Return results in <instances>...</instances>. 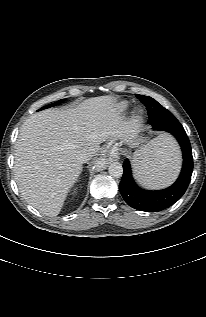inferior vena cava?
Here are the masks:
<instances>
[{"label":"inferior vena cava","instance_id":"inferior-vena-cava-1","mask_svg":"<svg viewBox=\"0 0 206 317\" xmlns=\"http://www.w3.org/2000/svg\"><path fill=\"white\" fill-rule=\"evenodd\" d=\"M93 156V152L85 150V151H80L79 154L77 155V159L81 163H85L88 161L91 157Z\"/></svg>","mask_w":206,"mask_h":317}]
</instances>
